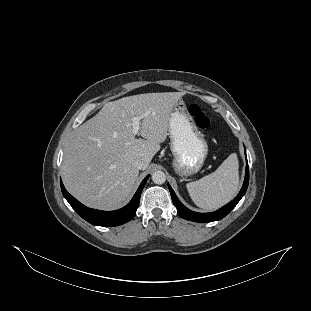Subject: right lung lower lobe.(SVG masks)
<instances>
[{
    "label": "right lung lower lobe",
    "instance_id": "98d812e1",
    "mask_svg": "<svg viewBox=\"0 0 311 311\" xmlns=\"http://www.w3.org/2000/svg\"><path fill=\"white\" fill-rule=\"evenodd\" d=\"M148 177L149 175L144 178L132 200L125 207L116 211H100L96 209H90L71 196L66 191L62 181H60V185L65 199L83 219L93 225L117 226L130 221L136 214V210L139 206L140 195Z\"/></svg>",
    "mask_w": 311,
    "mask_h": 311
}]
</instances>
